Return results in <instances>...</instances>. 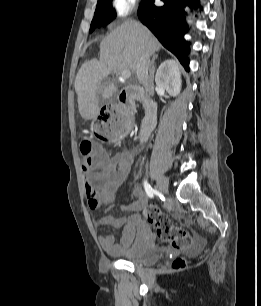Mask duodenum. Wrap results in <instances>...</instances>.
Listing matches in <instances>:
<instances>
[{
  "instance_id": "410a0bca",
  "label": "duodenum",
  "mask_w": 261,
  "mask_h": 306,
  "mask_svg": "<svg viewBox=\"0 0 261 306\" xmlns=\"http://www.w3.org/2000/svg\"><path fill=\"white\" fill-rule=\"evenodd\" d=\"M143 101L145 114L140 128V138L144 140L147 135L155 128L157 120V105L149 99L144 91L135 86L125 87L118 95L119 104L122 107L130 108L135 101Z\"/></svg>"
}]
</instances>
